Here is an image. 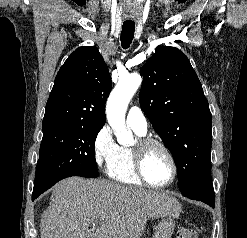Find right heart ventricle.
<instances>
[{
	"mask_svg": "<svg viewBox=\"0 0 247 238\" xmlns=\"http://www.w3.org/2000/svg\"><path fill=\"white\" fill-rule=\"evenodd\" d=\"M139 137H143L145 133L139 132L132 128ZM106 173L112 180L132 186H140L143 182L136 174L134 168L133 148L118 145L117 149L106 166Z\"/></svg>",
	"mask_w": 247,
	"mask_h": 238,
	"instance_id": "right-heart-ventricle-1",
	"label": "right heart ventricle"
}]
</instances>
